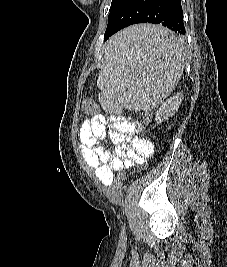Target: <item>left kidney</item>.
Instances as JSON below:
<instances>
[{
    "instance_id": "left-kidney-1",
    "label": "left kidney",
    "mask_w": 227,
    "mask_h": 267,
    "mask_svg": "<svg viewBox=\"0 0 227 267\" xmlns=\"http://www.w3.org/2000/svg\"><path fill=\"white\" fill-rule=\"evenodd\" d=\"M181 96L182 92H177V94L161 105L155 116V121L157 124L162 123L168 117H171L175 114L182 102Z\"/></svg>"
}]
</instances>
